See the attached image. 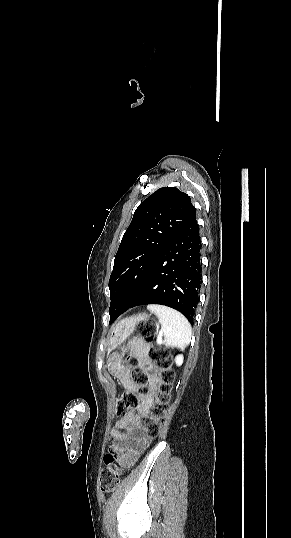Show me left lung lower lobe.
Wrapping results in <instances>:
<instances>
[{
  "label": "left lung lower lobe",
  "mask_w": 291,
  "mask_h": 538,
  "mask_svg": "<svg viewBox=\"0 0 291 538\" xmlns=\"http://www.w3.org/2000/svg\"><path fill=\"white\" fill-rule=\"evenodd\" d=\"M200 250L195 217L160 255L132 302L110 315V324L128 309L147 304L174 308L193 324L202 283Z\"/></svg>",
  "instance_id": "obj_1"
}]
</instances>
